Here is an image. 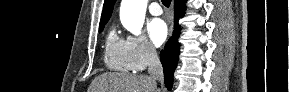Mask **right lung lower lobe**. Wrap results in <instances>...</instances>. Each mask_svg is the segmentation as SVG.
<instances>
[{"label": "right lung lower lobe", "mask_w": 289, "mask_h": 92, "mask_svg": "<svg viewBox=\"0 0 289 92\" xmlns=\"http://www.w3.org/2000/svg\"><path fill=\"white\" fill-rule=\"evenodd\" d=\"M186 0H175L174 1V23L175 30L173 31V36L169 39L164 47V50L160 53V60L163 65L164 80L166 87L170 90L173 83V73L176 68L178 58H179V43L177 41L180 34V26L178 25V19L184 16L186 7L183 3Z\"/></svg>", "instance_id": "obj_1"}]
</instances>
